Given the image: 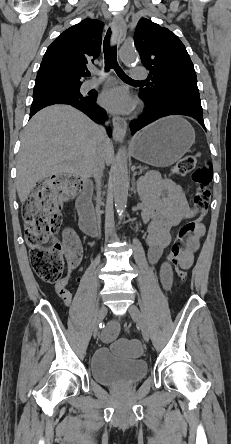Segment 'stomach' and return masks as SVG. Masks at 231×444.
I'll use <instances>...</instances> for the list:
<instances>
[{
	"mask_svg": "<svg viewBox=\"0 0 231 444\" xmlns=\"http://www.w3.org/2000/svg\"><path fill=\"white\" fill-rule=\"evenodd\" d=\"M195 142L193 127L180 116L162 118L131 141L132 155L146 164L167 167L178 161Z\"/></svg>",
	"mask_w": 231,
	"mask_h": 444,
	"instance_id": "stomach-1",
	"label": "stomach"
}]
</instances>
